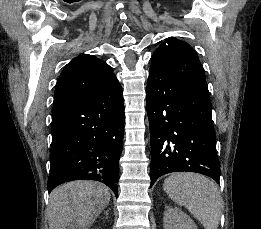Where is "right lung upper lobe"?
I'll return each instance as SVG.
<instances>
[{
  "instance_id": "cb5924a9",
  "label": "right lung upper lobe",
  "mask_w": 261,
  "mask_h": 229,
  "mask_svg": "<svg viewBox=\"0 0 261 229\" xmlns=\"http://www.w3.org/2000/svg\"><path fill=\"white\" fill-rule=\"evenodd\" d=\"M115 77L111 67L93 55L82 54L73 59L58 79L52 118L95 93Z\"/></svg>"
}]
</instances>
